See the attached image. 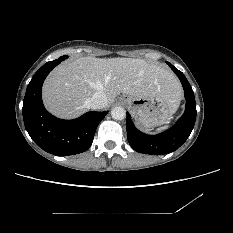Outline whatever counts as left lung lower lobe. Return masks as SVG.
<instances>
[{
	"label": "left lung lower lobe",
	"mask_w": 233,
	"mask_h": 233,
	"mask_svg": "<svg viewBox=\"0 0 233 233\" xmlns=\"http://www.w3.org/2000/svg\"><path fill=\"white\" fill-rule=\"evenodd\" d=\"M168 64L182 83L186 98L185 112L170 129L157 135H147L136 129L127 112L128 142L139 153L162 155L177 150L187 140L195 124L196 103L192 87L181 71Z\"/></svg>",
	"instance_id": "left-lung-lower-lobe-1"
}]
</instances>
